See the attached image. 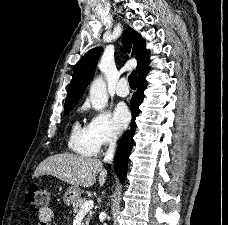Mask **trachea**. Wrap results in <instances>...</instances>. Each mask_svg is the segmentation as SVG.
<instances>
[{"label":"trachea","instance_id":"trachea-1","mask_svg":"<svg viewBox=\"0 0 228 225\" xmlns=\"http://www.w3.org/2000/svg\"><path fill=\"white\" fill-rule=\"evenodd\" d=\"M136 80H137V74H136V71L133 70V72L128 77L129 85L131 88H136Z\"/></svg>","mask_w":228,"mask_h":225}]
</instances>
